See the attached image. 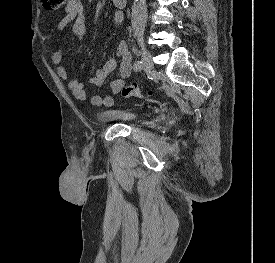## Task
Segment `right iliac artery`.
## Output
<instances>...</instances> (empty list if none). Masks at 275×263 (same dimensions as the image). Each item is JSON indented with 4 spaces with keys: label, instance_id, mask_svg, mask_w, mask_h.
Segmentation results:
<instances>
[{
    "label": "right iliac artery",
    "instance_id": "right-iliac-artery-1",
    "mask_svg": "<svg viewBox=\"0 0 275 263\" xmlns=\"http://www.w3.org/2000/svg\"><path fill=\"white\" fill-rule=\"evenodd\" d=\"M141 68H142V62H140V61L135 62L134 70L139 71V70H141Z\"/></svg>",
    "mask_w": 275,
    "mask_h": 263
}]
</instances>
